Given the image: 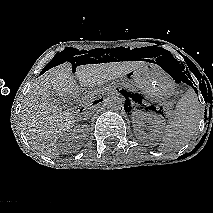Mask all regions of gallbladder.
Returning <instances> with one entry per match:
<instances>
[{
  "mask_svg": "<svg viewBox=\"0 0 213 213\" xmlns=\"http://www.w3.org/2000/svg\"><path fill=\"white\" fill-rule=\"evenodd\" d=\"M51 99L59 106L68 108L69 100L67 98H60L56 94L51 95Z\"/></svg>",
  "mask_w": 213,
  "mask_h": 213,
  "instance_id": "bac80fb5",
  "label": "gallbladder"
}]
</instances>
